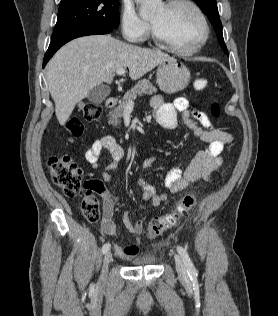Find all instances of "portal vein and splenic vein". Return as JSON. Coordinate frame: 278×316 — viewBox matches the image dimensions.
<instances>
[{"mask_svg": "<svg viewBox=\"0 0 278 316\" xmlns=\"http://www.w3.org/2000/svg\"><path fill=\"white\" fill-rule=\"evenodd\" d=\"M124 73H125V69L124 68H120V69L116 70V74L117 75H124ZM133 103H134L133 101L129 102L130 105H132Z\"/></svg>", "mask_w": 278, "mask_h": 316, "instance_id": "1", "label": "portal vein and splenic vein"}]
</instances>
